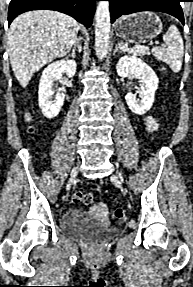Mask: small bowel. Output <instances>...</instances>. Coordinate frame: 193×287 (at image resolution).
<instances>
[{"mask_svg":"<svg viewBox=\"0 0 193 287\" xmlns=\"http://www.w3.org/2000/svg\"><path fill=\"white\" fill-rule=\"evenodd\" d=\"M144 125L148 132H152L157 127V118L151 115L146 116L144 118Z\"/></svg>","mask_w":193,"mask_h":287,"instance_id":"c3829d8e","label":"small bowel"}]
</instances>
